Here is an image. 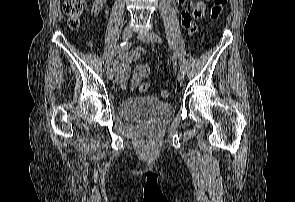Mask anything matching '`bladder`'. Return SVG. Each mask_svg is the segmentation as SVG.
I'll return each instance as SVG.
<instances>
[{"label":"bladder","mask_w":295,"mask_h":202,"mask_svg":"<svg viewBox=\"0 0 295 202\" xmlns=\"http://www.w3.org/2000/svg\"><path fill=\"white\" fill-rule=\"evenodd\" d=\"M119 115L131 121L162 124L172 119L174 108L170 102L154 96H143L121 102Z\"/></svg>","instance_id":"1"}]
</instances>
